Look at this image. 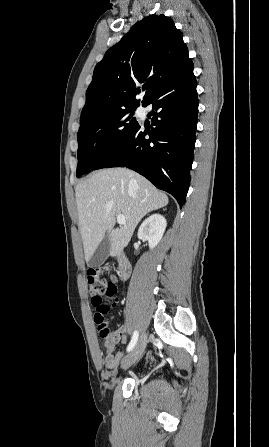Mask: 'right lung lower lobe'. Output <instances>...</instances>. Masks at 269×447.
Masks as SVG:
<instances>
[{
  "instance_id": "obj_1",
  "label": "right lung lower lobe",
  "mask_w": 269,
  "mask_h": 447,
  "mask_svg": "<svg viewBox=\"0 0 269 447\" xmlns=\"http://www.w3.org/2000/svg\"><path fill=\"white\" fill-rule=\"evenodd\" d=\"M192 61L173 80L161 85L145 101L152 105L151 129L140 126L94 170L127 167L185 203L190 184L198 96ZM149 135V139L145 136Z\"/></svg>"
}]
</instances>
